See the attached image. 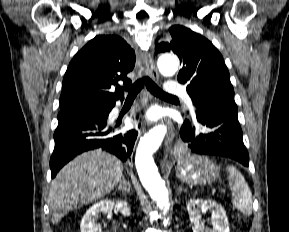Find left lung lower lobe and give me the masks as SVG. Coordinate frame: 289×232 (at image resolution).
Segmentation results:
<instances>
[{"mask_svg": "<svg viewBox=\"0 0 289 232\" xmlns=\"http://www.w3.org/2000/svg\"><path fill=\"white\" fill-rule=\"evenodd\" d=\"M187 152L218 155L249 165L238 119L224 111L202 107L196 110L193 121L185 120L180 130Z\"/></svg>", "mask_w": 289, "mask_h": 232, "instance_id": "obj_1", "label": "left lung lower lobe"}]
</instances>
